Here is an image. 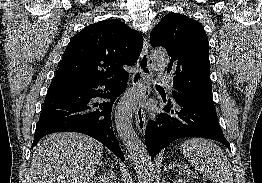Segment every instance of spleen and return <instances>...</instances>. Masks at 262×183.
<instances>
[{"mask_svg":"<svg viewBox=\"0 0 262 183\" xmlns=\"http://www.w3.org/2000/svg\"><path fill=\"white\" fill-rule=\"evenodd\" d=\"M180 151L208 180L213 183H233L229 160L222 149L213 142L191 138L181 145Z\"/></svg>","mask_w":262,"mask_h":183,"instance_id":"obj_1","label":"spleen"}]
</instances>
